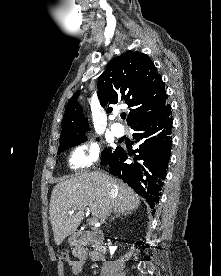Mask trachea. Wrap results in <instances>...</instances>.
Segmentation results:
<instances>
[{"instance_id":"1","label":"trachea","mask_w":221,"mask_h":276,"mask_svg":"<svg viewBox=\"0 0 221 276\" xmlns=\"http://www.w3.org/2000/svg\"><path fill=\"white\" fill-rule=\"evenodd\" d=\"M121 118H122V119H125V118H126V114H125V113H122V114H121Z\"/></svg>"}]
</instances>
